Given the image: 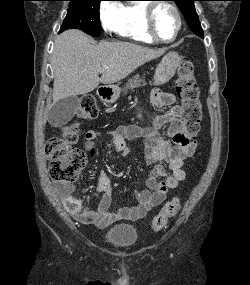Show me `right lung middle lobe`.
I'll return each mask as SVG.
<instances>
[{
  "label": "right lung middle lobe",
  "instance_id": "right-lung-middle-lobe-1",
  "mask_svg": "<svg viewBox=\"0 0 250 285\" xmlns=\"http://www.w3.org/2000/svg\"><path fill=\"white\" fill-rule=\"evenodd\" d=\"M68 1H70L69 9L60 31L77 28L91 36H99L101 33L99 5L102 0Z\"/></svg>",
  "mask_w": 250,
  "mask_h": 285
}]
</instances>
